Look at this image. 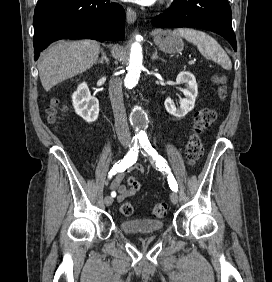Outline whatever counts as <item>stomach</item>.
I'll use <instances>...</instances> for the list:
<instances>
[{
  "label": "stomach",
  "instance_id": "1",
  "mask_svg": "<svg viewBox=\"0 0 272 282\" xmlns=\"http://www.w3.org/2000/svg\"><path fill=\"white\" fill-rule=\"evenodd\" d=\"M154 43L166 53H178L183 50L184 42L179 36H174L170 31H158Z\"/></svg>",
  "mask_w": 272,
  "mask_h": 282
}]
</instances>
